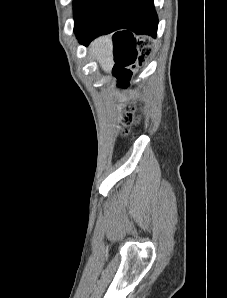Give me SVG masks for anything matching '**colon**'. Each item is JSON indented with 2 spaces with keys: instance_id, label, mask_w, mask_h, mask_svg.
Listing matches in <instances>:
<instances>
[{
  "instance_id": "1",
  "label": "colon",
  "mask_w": 227,
  "mask_h": 298,
  "mask_svg": "<svg viewBox=\"0 0 227 298\" xmlns=\"http://www.w3.org/2000/svg\"><path fill=\"white\" fill-rule=\"evenodd\" d=\"M151 53H152V47H151L150 45H144V46L142 47L141 57H142L143 59H147V58L150 56ZM130 77H131V72H130V70L124 69V70L120 73V75H119V77H118V83H117L118 87H119L120 89H125V88H127L128 83H129V80H130ZM132 109H133V107L130 106V107H129V113H128L127 116L125 117V121H126L127 124L133 122L134 120H138V119H135V118L132 116V114H131V112H130ZM129 133H130L129 128H125L124 131H123V134H124V135H128Z\"/></svg>"
}]
</instances>
